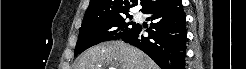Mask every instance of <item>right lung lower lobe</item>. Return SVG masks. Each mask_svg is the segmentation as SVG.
I'll return each mask as SVG.
<instances>
[{"label": "right lung lower lobe", "instance_id": "obj_1", "mask_svg": "<svg viewBox=\"0 0 246 69\" xmlns=\"http://www.w3.org/2000/svg\"><path fill=\"white\" fill-rule=\"evenodd\" d=\"M142 12L153 21L150 28L138 25L120 39L144 51L161 69H184L187 32L181 0H164Z\"/></svg>", "mask_w": 246, "mask_h": 69}]
</instances>
